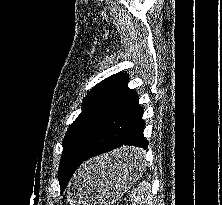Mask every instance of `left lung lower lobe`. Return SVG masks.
Segmentation results:
<instances>
[{
	"instance_id": "left-lung-lower-lobe-1",
	"label": "left lung lower lobe",
	"mask_w": 222,
	"mask_h": 205,
	"mask_svg": "<svg viewBox=\"0 0 222 205\" xmlns=\"http://www.w3.org/2000/svg\"><path fill=\"white\" fill-rule=\"evenodd\" d=\"M142 116L143 109L139 105V97L134 90L128 88L107 116L88 152L82 158L69 160L67 167L71 170L72 175L86 160L113 149L123 146L146 149L148 142L143 136L145 123ZM142 159L141 150L131 149L122 152L115 161L117 164L130 165L138 163ZM68 182L61 186V192L66 188Z\"/></svg>"
}]
</instances>
